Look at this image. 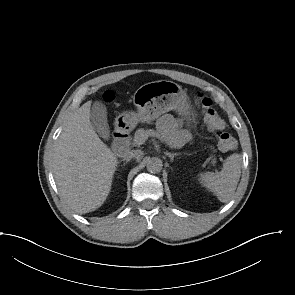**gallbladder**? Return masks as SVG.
Here are the masks:
<instances>
[{"mask_svg": "<svg viewBox=\"0 0 295 295\" xmlns=\"http://www.w3.org/2000/svg\"><path fill=\"white\" fill-rule=\"evenodd\" d=\"M90 120L94 126V129L97 131V133L101 137L107 139L109 137L107 111L105 106L100 101H96L93 103L91 112H90Z\"/></svg>", "mask_w": 295, "mask_h": 295, "instance_id": "bac80fb5", "label": "gallbladder"}]
</instances>
